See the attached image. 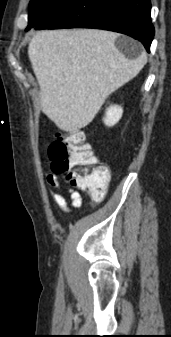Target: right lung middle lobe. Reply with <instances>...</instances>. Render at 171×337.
Segmentation results:
<instances>
[{
    "mask_svg": "<svg viewBox=\"0 0 171 337\" xmlns=\"http://www.w3.org/2000/svg\"><path fill=\"white\" fill-rule=\"evenodd\" d=\"M69 0H31L28 15L29 30L58 12Z\"/></svg>",
    "mask_w": 171,
    "mask_h": 337,
    "instance_id": "right-lung-middle-lobe-1",
    "label": "right lung middle lobe"
}]
</instances>
